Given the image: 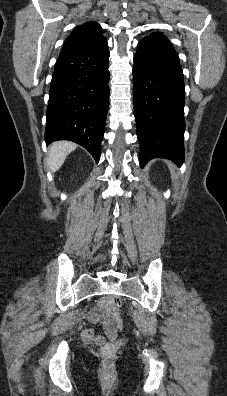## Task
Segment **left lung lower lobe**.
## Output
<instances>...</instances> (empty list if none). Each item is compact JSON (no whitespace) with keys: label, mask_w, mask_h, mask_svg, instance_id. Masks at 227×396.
Returning a JSON list of instances; mask_svg holds the SVG:
<instances>
[{"label":"left lung lower lobe","mask_w":227,"mask_h":396,"mask_svg":"<svg viewBox=\"0 0 227 396\" xmlns=\"http://www.w3.org/2000/svg\"><path fill=\"white\" fill-rule=\"evenodd\" d=\"M133 99L141 167L153 158L181 164L185 86L179 57L167 38L146 37L138 43Z\"/></svg>","instance_id":"0a47b994"}]
</instances>
